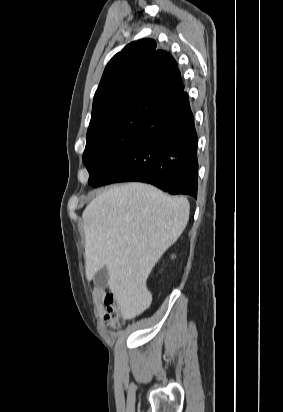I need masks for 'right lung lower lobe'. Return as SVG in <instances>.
<instances>
[{"mask_svg":"<svg viewBox=\"0 0 283 412\" xmlns=\"http://www.w3.org/2000/svg\"><path fill=\"white\" fill-rule=\"evenodd\" d=\"M168 78V76H167ZM197 133L186 92L175 96L153 124L91 185L140 181L170 194L197 197Z\"/></svg>","mask_w":283,"mask_h":412,"instance_id":"obj_1","label":"right lung lower lobe"}]
</instances>
